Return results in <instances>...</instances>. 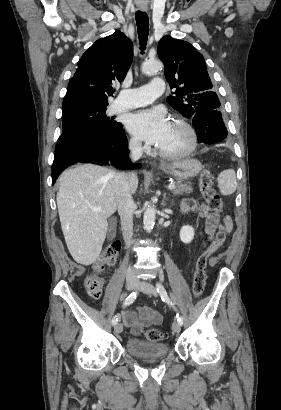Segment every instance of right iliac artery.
Here are the masks:
<instances>
[{"mask_svg": "<svg viewBox=\"0 0 281 410\" xmlns=\"http://www.w3.org/2000/svg\"><path fill=\"white\" fill-rule=\"evenodd\" d=\"M136 297H137V291L132 292V293L125 299V301L123 302V306L125 307V306L131 305V304L135 301ZM117 322H118V316H114L113 319H112V325H116Z\"/></svg>", "mask_w": 281, "mask_h": 410, "instance_id": "obj_1", "label": "right iliac artery"}]
</instances>
